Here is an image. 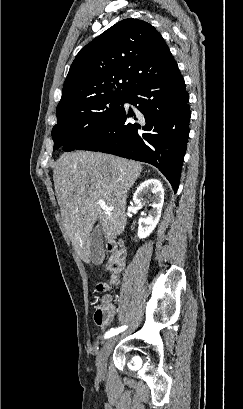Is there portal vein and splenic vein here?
<instances>
[{
  "instance_id": "18ae733b",
  "label": "portal vein and splenic vein",
  "mask_w": 243,
  "mask_h": 409,
  "mask_svg": "<svg viewBox=\"0 0 243 409\" xmlns=\"http://www.w3.org/2000/svg\"><path fill=\"white\" fill-rule=\"evenodd\" d=\"M98 205L101 207L102 210H110V208L106 205L105 201L98 200Z\"/></svg>"
}]
</instances>
